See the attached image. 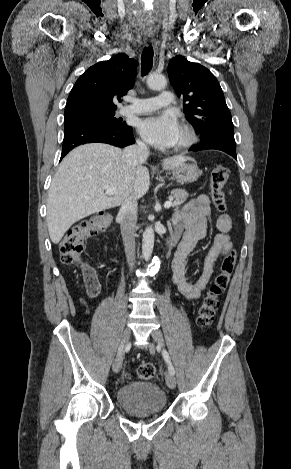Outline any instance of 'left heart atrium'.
Masks as SVG:
<instances>
[{"label": "left heart atrium", "mask_w": 291, "mask_h": 469, "mask_svg": "<svg viewBox=\"0 0 291 469\" xmlns=\"http://www.w3.org/2000/svg\"><path fill=\"white\" fill-rule=\"evenodd\" d=\"M138 130L147 142L159 148L174 146L181 132L176 118L169 113L151 115L142 119Z\"/></svg>", "instance_id": "39dd6f15"}]
</instances>
